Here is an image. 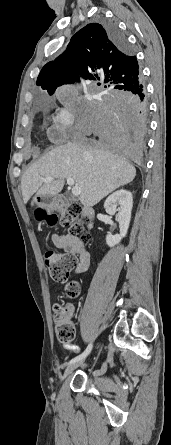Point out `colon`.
<instances>
[{"instance_id": "5ec220e1", "label": "colon", "mask_w": 171, "mask_h": 445, "mask_svg": "<svg viewBox=\"0 0 171 445\" xmlns=\"http://www.w3.org/2000/svg\"><path fill=\"white\" fill-rule=\"evenodd\" d=\"M40 223L46 224L50 227L61 225L69 229L73 234H80L83 230V225L87 221L84 215L82 206L78 203H68L62 210L61 215L38 214ZM45 261L49 270L50 277L54 281H65L68 278L69 272L76 265V257L71 254H60L53 250H48L45 253ZM78 285L71 282L66 289L68 297H74L78 293ZM55 316V334L60 343L70 344L75 338V328L71 321V308L61 302H56L53 306Z\"/></svg>"}]
</instances>
